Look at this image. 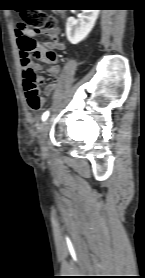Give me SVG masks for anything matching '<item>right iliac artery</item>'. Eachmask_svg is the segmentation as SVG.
I'll return each instance as SVG.
<instances>
[{"label":"right iliac artery","mask_w":145,"mask_h":278,"mask_svg":"<svg viewBox=\"0 0 145 278\" xmlns=\"http://www.w3.org/2000/svg\"><path fill=\"white\" fill-rule=\"evenodd\" d=\"M49 116V111H46L43 116H42V120L45 121Z\"/></svg>","instance_id":"1"}]
</instances>
